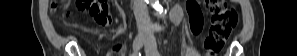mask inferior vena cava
Instances as JSON below:
<instances>
[{"label":"inferior vena cava","mask_w":297,"mask_h":56,"mask_svg":"<svg viewBox=\"0 0 297 56\" xmlns=\"http://www.w3.org/2000/svg\"><path fill=\"white\" fill-rule=\"evenodd\" d=\"M134 15L137 21L139 29L145 33L150 34V37L154 39V35L149 29L150 17L146 10L145 0H136L134 4Z\"/></svg>","instance_id":"602c4592"}]
</instances>
